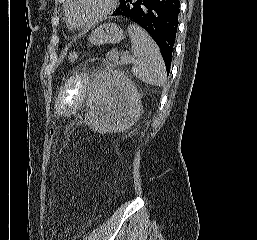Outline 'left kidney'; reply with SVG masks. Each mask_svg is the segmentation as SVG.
<instances>
[{"mask_svg": "<svg viewBox=\"0 0 257 240\" xmlns=\"http://www.w3.org/2000/svg\"><path fill=\"white\" fill-rule=\"evenodd\" d=\"M90 127L99 132H123L142 113L141 96L134 83L120 71L98 75L88 98Z\"/></svg>", "mask_w": 257, "mask_h": 240, "instance_id": "obj_1", "label": "left kidney"}]
</instances>
